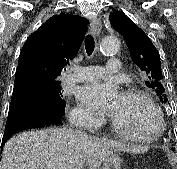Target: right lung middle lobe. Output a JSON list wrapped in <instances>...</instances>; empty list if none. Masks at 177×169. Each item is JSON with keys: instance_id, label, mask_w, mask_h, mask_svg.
<instances>
[{"instance_id": "right-lung-middle-lobe-1", "label": "right lung middle lobe", "mask_w": 177, "mask_h": 169, "mask_svg": "<svg viewBox=\"0 0 177 169\" xmlns=\"http://www.w3.org/2000/svg\"><path fill=\"white\" fill-rule=\"evenodd\" d=\"M23 91L26 92V90ZM26 96L28 99L49 104L54 108H63L65 106L59 83L32 82L30 83L29 93Z\"/></svg>"}]
</instances>
